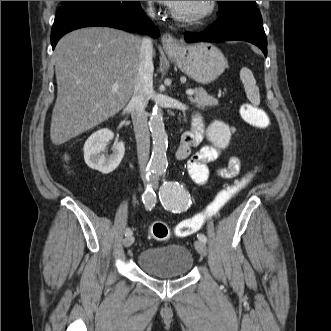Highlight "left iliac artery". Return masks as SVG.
<instances>
[{
	"label": "left iliac artery",
	"instance_id": "44dca946",
	"mask_svg": "<svg viewBox=\"0 0 331 331\" xmlns=\"http://www.w3.org/2000/svg\"><path fill=\"white\" fill-rule=\"evenodd\" d=\"M158 175H163L165 169H157L155 171ZM159 198L165 209L172 213H181L186 211L190 205V195L185 190L183 185L178 182L165 181L160 188ZM197 238L206 243L207 238L204 234H198Z\"/></svg>",
	"mask_w": 331,
	"mask_h": 331
}]
</instances>
